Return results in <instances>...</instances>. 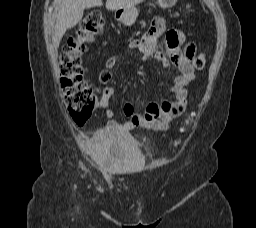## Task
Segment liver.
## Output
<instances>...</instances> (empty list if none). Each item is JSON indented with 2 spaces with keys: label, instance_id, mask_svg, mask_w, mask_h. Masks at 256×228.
<instances>
[{
  "label": "liver",
  "instance_id": "liver-1",
  "mask_svg": "<svg viewBox=\"0 0 256 228\" xmlns=\"http://www.w3.org/2000/svg\"><path fill=\"white\" fill-rule=\"evenodd\" d=\"M144 0H107L106 9L117 10L131 7ZM59 9L55 24V32L52 37L53 44L57 48L65 32L76 26L83 17L86 8L100 7L102 0H58Z\"/></svg>",
  "mask_w": 256,
  "mask_h": 228
}]
</instances>
